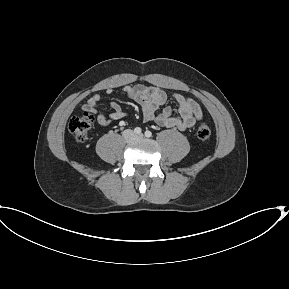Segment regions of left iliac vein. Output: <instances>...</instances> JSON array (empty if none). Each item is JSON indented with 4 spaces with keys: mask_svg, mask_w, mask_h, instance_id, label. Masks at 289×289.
Wrapping results in <instances>:
<instances>
[{
    "mask_svg": "<svg viewBox=\"0 0 289 289\" xmlns=\"http://www.w3.org/2000/svg\"><path fill=\"white\" fill-rule=\"evenodd\" d=\"M136 138H138V139L143 138V134L136 135Z\"/></svg>",
    "mask_w": 289,
    "mask_h": 289,
    "instance_id": "1",
    "label": "left iliac vein"
}]
</instances>
